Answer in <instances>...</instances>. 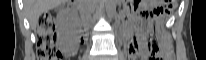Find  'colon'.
Segmentation results:
<instances>
[{"label":"colon","mask_w":206,"mask_h":60,"mask_svg":"<svg viewBox=\"0 0 206 60\" xmlns=\"http://www.w3.org/2000/svg\"><path fill=\"white\" fill-rule=\"evenodd\" d=\"M175 0H165L163 5L154 9L156 15L169 13L174 6ZM53 21L48 13L39 17L37 29V55L39 60H60L61 53L56 47V37L53 31ZM151 60H169L172 56V47L169 40L161 37L160 40L149 38L146 42Z\"/></svg>","instance_id":"obj_1"}]
</instances>
